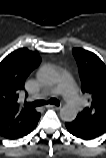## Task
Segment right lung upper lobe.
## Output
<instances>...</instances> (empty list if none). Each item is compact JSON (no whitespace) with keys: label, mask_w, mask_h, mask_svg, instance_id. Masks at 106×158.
I'll return each mask as SVG.
<instances>
[{"label":"right lung upper lobe","mask_w":106,"mask_h":158,"mask_svg":"<svg viewBox=\"0 0 106 158\" xmlns=\"http://www.w3.org/2000/svg\"><path fill=\"white\" fill-rule=\"evenodd\" d=\"M37 51L15 50L0 63V135L17 139L27 134L40 118V113L24 105L19 95L26 78L40 64Z\"/></svg>","instance_id":"cb5924a9"}]
</instances>
